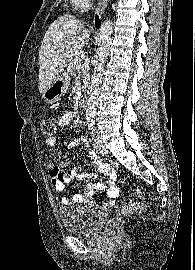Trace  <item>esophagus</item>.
<instances>
[{
    "mask_svg": "<svg viewBox=\"0 0 195 270\" xmlns=\"http://www.w3.org/2000/svg\"><path fill=\"white\" fill-rule=\"evenodd\" d=\"M108 2H109V0H100L99 5H98V9H97V12L99 14H102L105 11V9L108 5Z\"/></svg>",
    "mask_w": 195,
    "mask_h": 270,
    "instance_id": "34e87169",
    "label": "esophagus"
}]
</instances>
